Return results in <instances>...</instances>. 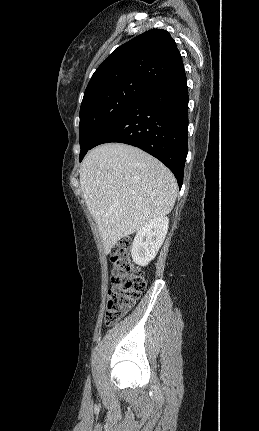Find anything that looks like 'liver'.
Masks as SVG:
<instances>
[{"instance_id":"obj_1","label":"liver","mask_w":259,"mask_h":431,"mask_svg":"<svg viewBox=\"0 0 259 431\" xmlns=\"http://www.w3.org/2000/svg\"><path fill=\"white\" fill-rule=\"evenodd\" d=\"M80 185L105 254L151 219L170 213L178 192L176 179L166 166L122 143L89 151L81 165Z\"/></svg>"}]
</instances>
